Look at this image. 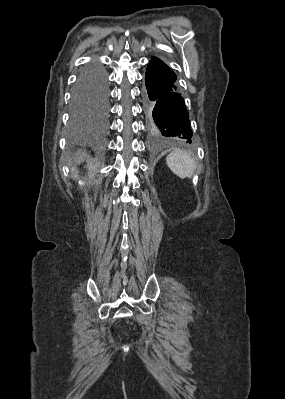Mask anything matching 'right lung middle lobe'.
<instances>
[{
    "mask_svg": "<svg viewBox=\"0 0 285 399\" xmlns=\"http://www.w3.org/2000/svg\"><path fill=\"white\" fill-rule=\"evenodd\" d=\"M108 109L106 75L98 63L85 67L72 94V120L78 125L93 117H102Z\"/></svg>",
    "mask_w": 285,
    "mask_h": 399,
    "instance_id": "right-lung-middle-lobe-1",
    "label": "right lung middle lobe"
}]
</instances>
